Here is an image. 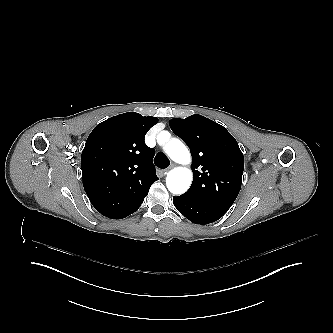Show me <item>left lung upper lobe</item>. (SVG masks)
I'll return each instance as SVG.
<instances>
[{"instance_id":"obj_1","label":"left lung upper lobe","mask_w":333,"mask_h":333,"mask_svg":"<svg viewBox=\"0 0 333 333\" xmlns=\"http://www.w3.org/2000/svg\"><path fill=\"white\" fill-rule=\"evenodd\" d=\"M190 148L193 182L182 196L199 203L230 208L241 189L244 156L225 127L201 115L169 121Z\"/></svg>"}]
</instances>
